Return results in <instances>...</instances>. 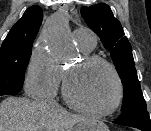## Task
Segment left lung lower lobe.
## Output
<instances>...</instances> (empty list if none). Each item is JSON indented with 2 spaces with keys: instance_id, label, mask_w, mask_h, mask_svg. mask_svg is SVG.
I'll return each instance as SVG.
<instances>
[{
  "instance_id": "left-lung-lower-lobe-1",
  "label": "left lung lower lobe",
  "mask_w": 151,
  "mask_h": 131,
  "mask_svg": "<svg viewBox=\"0 0 151 131\" xmlns=\"http://www.w3.org/2000/svg\"><path fill=\"white\" fill-rule=\"evenodd\" d=\"M113 122L118 125L138 128L142 131H151V120L146 109H134L122 113Z\"/></svg>"
}]
</instances>
